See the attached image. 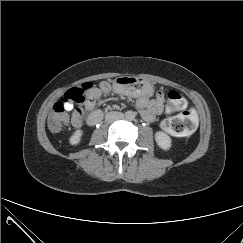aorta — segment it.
Here are the masks:
<instances>
[{
  "instance_id": "762f6f07",
  "label": "aorta",
  "mask_w": 243,
  "mask_h": 243,
  "mask_svg": "<svg viewBox=\"0 0 243 243\" xmlns=\"http://www.w3.org/2000/svg\"><path fill=\"white\" fill-rule=\"evenodd\" d=\"M135 115H136L135 112H133V111H127V112L125 113V118H126L127 120H133V119L135 118Z\"/></svg>"
}]
</instances>
